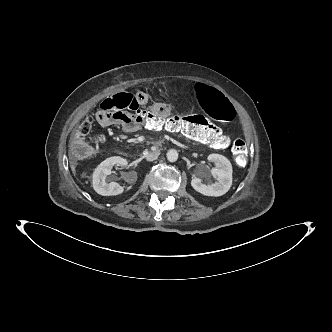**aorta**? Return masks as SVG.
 Instances as JSON below:
<instances>
[{"instance_id":"1","label":"aorta","mask_w":332,"mask_h":332,"mask_svg":"<svg viewBox=\"0 0 332 332\" xmlns=\"http://www.w3.org/2000/svg\"><path fill=\"white\" fill-rule=\"evenodd\" d=\"M167 159L169 162H175L178 159V152L174 149H170L167 152Z\"/></svg>"}]
</instances>
